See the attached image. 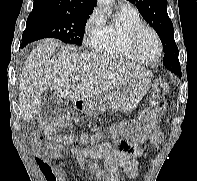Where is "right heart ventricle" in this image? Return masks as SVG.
<instances>
[{"label":"right heart ventricle","mask_w":197,"mask_h":181,"mask_svg":"<svg viewBox=\"0 0 197 181\" xmlns=\"http://www.w3.org/2000/svg\"><path fill=\"white\" fill-rule=\"evenodd\" d=\"M140 24L143 20L139 11L133 6H122L114 19L104 22L91 43L92 49L104 57L137 61L128 48L127 39L130 31Z\"/></svg>","instance_id":"e07e8e85"}]
</instances>
